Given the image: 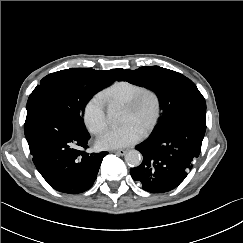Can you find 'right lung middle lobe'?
Here are the masks:
<instances>
[{
	"instance_id": "right-lung-middle-lobe-1",
	"label": "right lung middle lobe",
	"mask_w": 243,
	"mask_h": 243,
	"mask_svg": "<svg viewBox=\"0 0 243 243\" xmlns=\"http://www.w3.org/2000/svg\"><path fill=\"white\" fill-rule=\"evenodd\" d=\"M111 81L85 75L76 69L51 73L40 81L27 102V108L44 105L64 113L75 126L87 132L83 121L84 108L91 97Z\"/></svg>"
}]
</instances>
